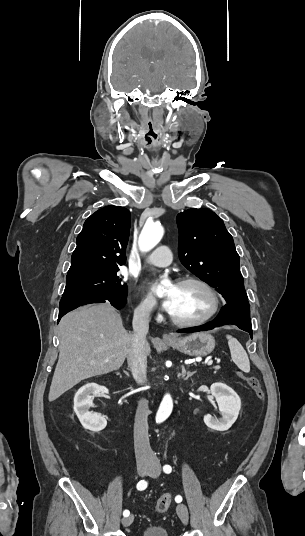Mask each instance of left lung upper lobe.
Instances as JSON below:
<instances>
[{"instance_id":"obj_1","label":"left lung upper lobe","mask_w":305,"mask_h":536,"mask_svg":"<svg viewBox=\"0 0 305 536\" xmlns=\"http://www.w3.org/2000/svg\"><path fill=\"white\" fill-rule=\"evenodd\" d=\"M179 258L193 274L214 287L227 304L248 302L240 258L223 220L209 209L177 215Z\"/></svg>"}]
</instances>
